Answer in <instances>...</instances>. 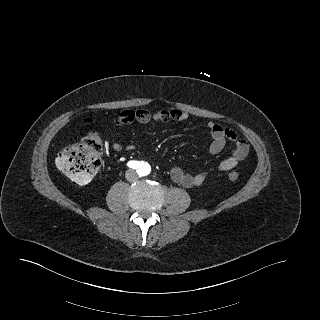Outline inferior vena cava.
<instances>
[{"label":"inferior vena cava","instance_id":"inferior-vena-cava-1","mask_svg":"<svg viewBox=\"0 0 320 320\" xmlns=\"http://www.w3.org/2000/svg\"><path fill=\"white\" fill-rule=\"evenodd\" d=\"M127 181L129 182H135L138 180V175L136 174V172L134 170H128L126 172V175H125Z\"/></svg>","mask_w":320,"mask_h":320}]
</instances>
